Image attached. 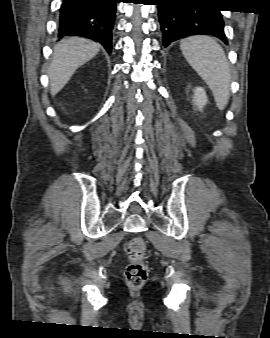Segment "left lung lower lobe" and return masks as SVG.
Returning a JSON list of instances; mask_svg holds the SVG:
<instances>
[{
  "label": "left lung lower lobe",
  "instance_id": "0a47b994",
  "mask_svg": "<svg viewBox=\"0 0 270 338\" xmlns=\"http://www.w3.org/2000/svg\"><path fill=\"white\" fill-rule=\"evenodd\" d=\"M164 46L196 34L215 36L227 43L224 22L214 0H156Z\"/></svg>",
  "mask_w": 270,
  "mask_h": 338
}]
</instances>
